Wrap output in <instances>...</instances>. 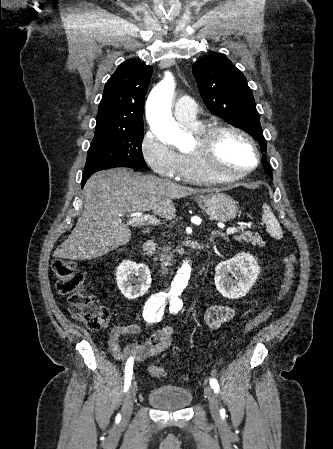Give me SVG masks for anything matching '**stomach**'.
Instances as JSON below:
<instances>
[{"label":"stomach","mask_w":333,"mask_h":449,"mask_svg":"<svg viewBox=\"0 0 333 449\" xmlns=\"http://www.w3.org/2000/svg\"><path fill=\"white\" fill-rule=\"evenodd\" d=\"M197 202L210 219L218 222L233 220L238 213L237 202L223 193L211 192L208 195H201Z\"/></svg>","instance_id":"1"}]
</instances>
